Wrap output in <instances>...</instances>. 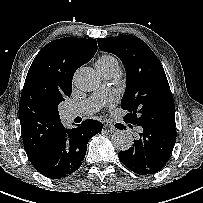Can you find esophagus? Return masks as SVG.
Wrapping results in <instances>:
<instances>
[{
  "label": "esophagus",
  "instance_id": "34e87169",
  "mask_svg": "<svg viewBox=\"0 0 203 203\" xmlns=\"http://www.w3.org/2000/svg\"><path fill=\"white\" fill-rule=\"evenodd\" d=\"M103 126H104V128H109L112 131L115 130L114 124L111 121H109V120H104L103 121Z\"/></svg>",
  "mask_w": 203,
  "mask_h": 203
}]
</instances>
